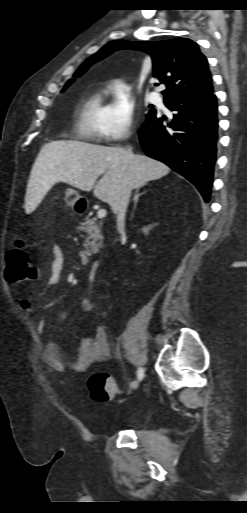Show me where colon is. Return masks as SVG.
I'll use <instances>...</instances> for the list:
<instances>
[{"label": "colon", "mask_w": 247, "mask_h": 513, "mask_svg": "<svg viewBox=\"0 0 247 513\" xmlns=\"http://www.w3.org/2000/svg\"><path fill=\"white\" fill-rule=\"evenodd\" d=\"M38 270L32 256L23 243H18L7 255L5 277L9 283L34 281ZM88 390L97 402H107L118 393L113 378L103 372L95 373L88 379Z\"/></svg>", "instance_id": "colon-1"}]
</instances>
